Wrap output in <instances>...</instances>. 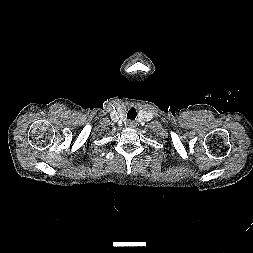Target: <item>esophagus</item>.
Wrapping results in <instances>:
<instances>
[{
  "mask_svg": "<svg viewBox=\"0 0 253 253\" xmlns=\"http://www.w3.org/2000/svg\"><path fill=\"white\" fill-rule=\"evenodd\" d=\"M127 126L130 127V128H133V127H135V122L134 121H128Z\"/></svg>",
  "mask_w": 253,
  "mask_h": 253,
  "instance_id": "1",
  "label": "esophagus"
}]
</instances>
